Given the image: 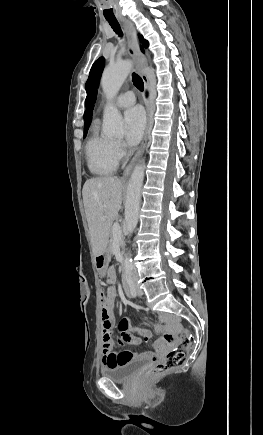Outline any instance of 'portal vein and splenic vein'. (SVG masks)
Returning <instances> with one entry per match:
<instances>
[{"label":"portal vein and splenic vein","mask_w":263,"mask_h":435,"mask_svg":"<svg viewBox=\"0 0 263 435\" xmlns=\"http://www.w3.org/2000/svg\"><path fill=\"white\" fill-rule=\"evenodd\" d=\"M112 231H113V237H114V239H120L121 238V236H122V230H121V227H120V225L118 223H114L113 224Z\"/></svg>","instance_id":"18ae733b"}]
</instances>
